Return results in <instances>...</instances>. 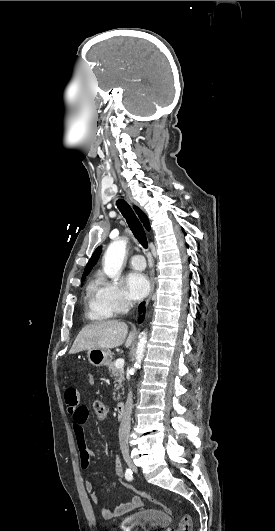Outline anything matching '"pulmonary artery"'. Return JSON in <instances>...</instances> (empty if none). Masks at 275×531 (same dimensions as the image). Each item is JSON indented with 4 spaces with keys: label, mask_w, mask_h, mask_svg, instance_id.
Wrapping results in <instances>:
<instances>
[{
    "label": "pulmonary artery",
    "mask_w": 275,
    "mask_h": 531,
    "mask_svg": "<svg viewBox=\"0 0 275 531\" xmlns=\"http://www.w3.org/2000/svg\"><path fill=\"white\" fill-rule=\"evenodd\" d=\"M128 261L131 267L134 269L142 270L146 267V262L142 255H138V254L133 255L128 259Z\"/></svg>",
    "instance_id": "obj_1"
}]
</instances>
